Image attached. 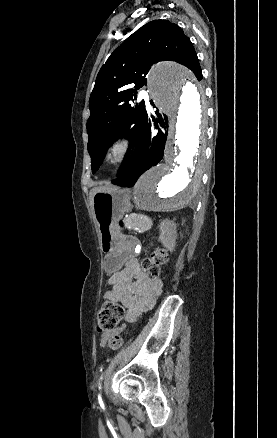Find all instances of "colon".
I'll use <instances>...</instances> for the list:
<instances>
[{
  "mask_svg": "<svg viewBox=\"0 0 277 438\" xmlns=\"http://www.w3.org/2000/svg\"><path fill=\"white\" fill-rule=\"evenodd\" d=\"M168 257L167 250L165 248H156L152 252V256L143 260L142 268L151 276L156 277L159 274L160 265L166 263ZM123 313L121 305L113 301L104 303L98 312L97 326L100 331L113 330ZM108 345L113 349H118L122 346L123 337L120 334H108Z\"/></svg>",
  "mask_w": 277,
  "mask_h": 438,
  "instance_id": "obj_1",
  "label": "colon"
}]
</instances>
